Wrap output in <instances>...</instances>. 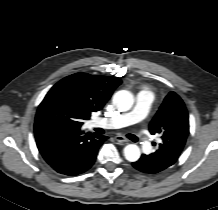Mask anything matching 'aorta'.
<instances>
[{"label": "aorta", "mask_w": 218, "mask_h": 210, "mask_svg": "<svg viewBox=\"0 0 218 210\" xmlns=\"http://www.w3.org/2000/svg\"><path fill=\"white\" fill-rule=\"evenodd\" d=\"M134 103V98L131 92L126 90L118 91L113 96V104L120 110V111H128L131 109ZM124 156L130 162L137 161L140 156V148L135 144H128L124 148Z\"/></svg>", "instance_id": "762f6f07"}]
</instances>
